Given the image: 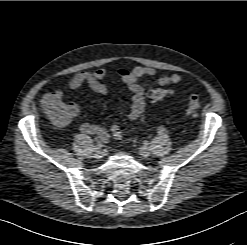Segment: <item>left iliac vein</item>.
<instances>
[{"label":"left iliac vein","mask_w":247,"mask_h":245,"mask_svg":"<svg viewBox=\"0 0 247 245\" xmlns=\"http://www.w3.org/2000/svg\"><path fill=\"white\" fill-rule=\"evenodd\" d=\"M139 153H140V155L143 156L144 158H147V157L150 156L151 151H150V149H149L148 147L143 146V147H141V148L139 149Z\"/></svg>","instance_id":"1"}]
</instances>
